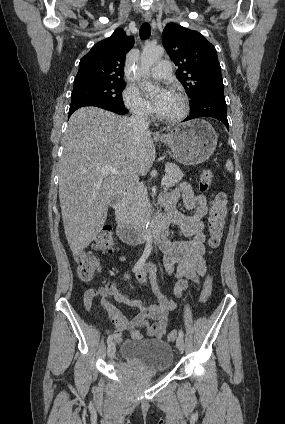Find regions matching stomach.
<instances>
[{"instance_id": "1", "label": "stomach", "mask_w": 285, "mask_h": 424, "mask_svg": "<svg viewBox=\"0 0 285 424\" xmlns=\"http://www.w3.org/2000/svg\"><path fill=\"white\" fill-rule=\"evenodd\" d=\"M161 141L169 146L177 162L197 165L213 154L217 134L207 121L196 119L174 128Z\"/></svg>"}]
</instances>
